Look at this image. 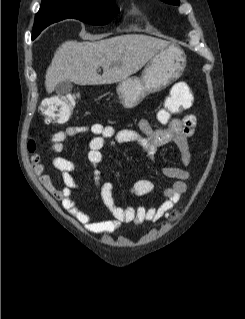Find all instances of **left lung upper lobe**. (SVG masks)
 <instances>
[{"label":"left lung upper lobe","instance_id":"obj_1","mask_svg":"<svg viewBox=\"0 0 245 319\" xmlns=\"http://www.w3.org/2000/svg\"><path fill=\"white\" fill-rule=\"evenodd\" d=\"M166 3H170V4H174V5H178L179 4V1L178 0H162Z\"/></svg>","mask_w":245,"mask_h":319}]
</instances>
